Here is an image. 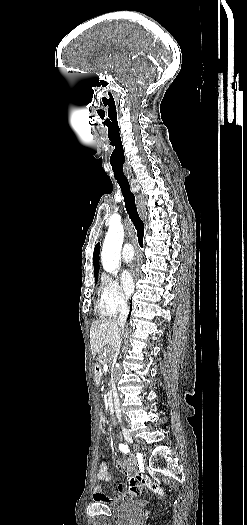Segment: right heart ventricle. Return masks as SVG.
<instances>
[{"mask_svg": "<svg viewBox=\"0 0 247 525\" xmlns=\"http://www.w3.org/2000/svg\"><path fill=\"white\" fill-rule=\"evenodd\" d=\"M95 314L97 317H113L115 315L113 314H109L108 312H106L103 307L99 304V302L96 303L95 305Z\"/></svg>", "mask_w": 247, "mask_h": 525, "instance_id": "obj_1", "label": "right heart ventricle"}]
</instances>
